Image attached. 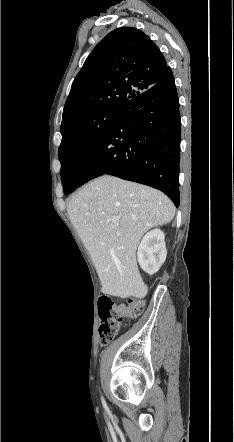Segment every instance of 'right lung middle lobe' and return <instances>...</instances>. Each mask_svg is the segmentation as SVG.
I'll return each instance as SVG.
<instances>
[{
	"label": "right lung middle lobe",
	"instance_id": "obj_1",
	"mask_svg": "<svg viewBox=\"0 0 234 442\" xmlns=\"http://www.w3.org/2000/svg\"><path fill=\"white\" fill-rule=\"evenodd\" d=\"M121 107L105 108L69 123L63 130L59 146L61 176L64 191L72 182L70 171L77 160L98 144L107 134Z\"/></svg>",
	"mask_w": 234,
	"mask_h": 442
}]
</instances>
